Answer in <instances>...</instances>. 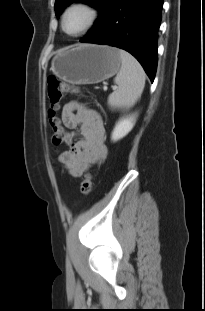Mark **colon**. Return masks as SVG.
<instances>
[{"label": "colon", "instance_id": "1", "mask_svg": "<svg viewBox=\"0 0 205 311\" xmlns=\"http://www.w3.org/2000/svg\"><path fill=\"white\" fill-rule=\"evenodd\" d=\"M67 92L80 96L81 90L56 76H50L47 81L48 96V123L51 129V142L54 147H60L66 142V133L57 117L61 101ZM92 189V175L87 173L83 176L80 184V192L87 195Z\"/></svg>", "mask_w": 205, "mask_h": 311}]
</instances>
